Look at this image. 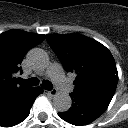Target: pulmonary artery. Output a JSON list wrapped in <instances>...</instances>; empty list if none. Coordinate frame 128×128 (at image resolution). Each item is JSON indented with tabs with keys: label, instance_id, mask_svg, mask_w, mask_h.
<instances>
[{
	"label": "pulmonary artery",
	"instance_id": "pulmonary-artery-1",
	"mask_svg": "<svg viewBox=\"0 0 128 128\" xmlns=\"http://www.w3.org/2000/svg\"><path fill=\"white\" fill-rule=\"evenodd\" d=\"M47 74L51 77L57 88L62 92L70 93L73 90V86L65 77L62 67L58 63L52 64L47 70Z\"/></svg>",
	"mask_w": 128,
	"mask_h": 128
}]
</instances>
